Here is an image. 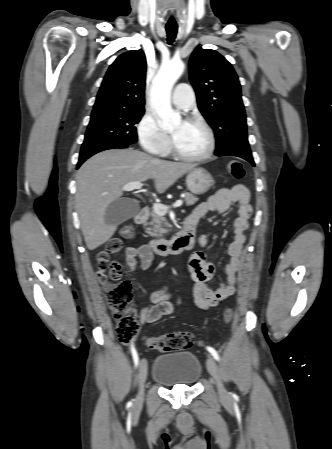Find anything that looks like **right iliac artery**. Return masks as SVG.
<instances>
[{
    "label": "right iliac artery",
    "mask_w": 332,
    "mask_h": 449,
    "mask_svg": "<svg viewBox=\"0 0 332 449\" xmlns=\"http://www.w3.org/2000/svg\"><path fill=\"white\" fill-rule=\"evenodd\" d=\"M131 353H132V356H133L134 364L137 367L138 363H139V357H138L137 351H136L135 347L133 346V344L131 345ZM131 405H132V402H129L128 406H131Z\"/></svg>",
    "instance_id": "1"
}]
</instances>
